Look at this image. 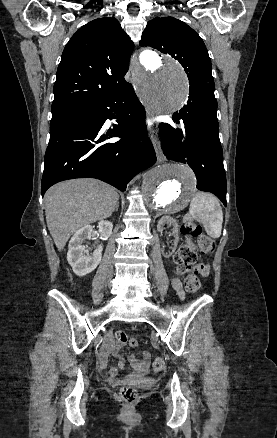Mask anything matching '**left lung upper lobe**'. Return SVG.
I'll use <instances>...</instances> for the list:
<instances>
[{"instance_id":"1","label":"left lung upper lobe","mask_w":277,"mask_h":438,"mask_svg":"<svg viewBox=\"0 0 277 438\" xmlns=\"http://www.w3.org/2000/svg\"><path fill=\"white\" fill-rule=\"evenodd\" d=\"M140 46L169 54L184 67L189 79V98H215L211 60L201 37L186 23L173 17H157L147 23Z\"/></svg>"}]
</instances>
